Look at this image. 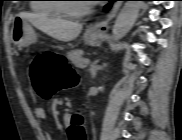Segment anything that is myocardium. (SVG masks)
<instances>
[{
  "label": "myocardium",
  "mask_w": 182,
  "mask_h": 140,
  "mask_svg": "<svg viewBox=\"0 0 182 140\" xmlns=\"http://www.w3.org/2000/svg\"><path fill=\"white\" fill-rule=\"evenodd\" d=\"M64 1L65 0H62V2H60L58 4V9L61 12V14H63L66 17H69V18L82 17V16L86 15L91 9V6L89 4H86L82 9L72 10L68 7L67 3Z\"/></svg>",
  "instance_id": "1"
}]
</instances>
